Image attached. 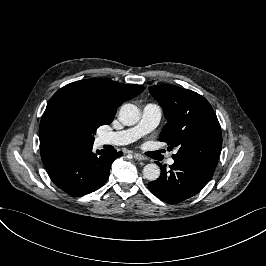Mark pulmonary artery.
Segmentation results:
<instances>
[{"label":"pulmonary artery","mask_w":266,"mask_h":266,"mask_svg":"<svg viewBox=\"0 0 266 266\" xmlns=\"http://www.w3.org/2000/svg\"><path fill=\"white\" fill-rule=\"evenodd\" d=\"M162 109L156 103H147L144 105L139 123L129 129L107 132L101 135V143L108 145H127L154 130L161 119ZM177 150L175 151V153ZM168 165L174 163L173 158L167 160Z\"/></svg>","instance_id":"e3ab8cb5"}]
</instances>
